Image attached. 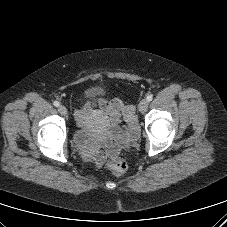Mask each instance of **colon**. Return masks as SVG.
<instances>
[{"mask_svg":"<svg viewBox=\"0 0 227 227\" xmlns=\"http://www.w3.org/2000/svg\"><path fill=\"white\" fill-rule=\"evenodd\" d=\"M106 167L115 175H122L127 170V164L122 160L109 161Z\"/></svg>","mask_w":227,"mask_h":227,"instance_id":"5ec220e1","label":"colon"}]
</instances>
